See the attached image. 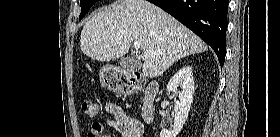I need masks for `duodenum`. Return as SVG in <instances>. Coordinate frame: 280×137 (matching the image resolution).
<instances>
[{"instance_id": "410a0bca", "label": "duodenum", "mask_w": 280, "mask_h": 137, "mask_svg": "<svg viewBox=\"0 0 280 137\" xmlns=\"http://www.w3.org/2000/svg\"><path fill=\"white\" fill-rule=\"evenodd\" d=\"M133 92H142L140 113L144 122L151 123L155 119V100L159 93V84L150 82L146 85L136 79L132 81Z\"/></svg>"}]
</instances>
